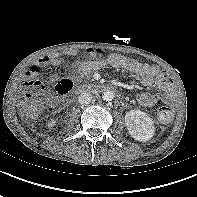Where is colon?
Masks as SVG:
<instances>
[{
    "label": "colon",
    "mask_w": 197,
    "mask_h": 197,
    "mask_svg": "<svg viewBox=\"0 0 197 197\" xmlns=\"http://www.w3.org/2000/svg\"><path fill=\"white\" fill-rule=\"evenodd\" d=\"M31 89L36 90L37 92L29 95V97L25 101V109L26 112L30 116H36L40 110L41 106V91L43 90V84L40 81H32L29 83ZM74 86L73 80L69 78H64L60 80V82L56 85V96L58 98L69 93ZM173 118V111L168 106H162L158 110V119L163 123H168Z\"/></svg>",
    "instance_id": "1"
}]
</instances>
